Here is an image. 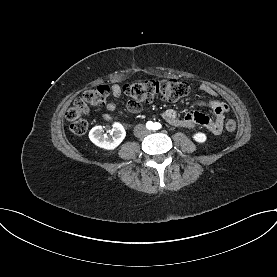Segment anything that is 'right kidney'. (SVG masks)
Returning <instances> with one entry per match:
<instances>
[{
	"mask_svg": "<svg viewBox=\"0 0 277 277\" xmlns=\"http://www.w3.org/2000/svg\"><path fill=\"white\" fill-rule=\"evenodd\" d=\"M102 130V126L93 127L89 132V138L96 146L106 150L115 149L126 136L124 127L118 122H115L113 128L109 130L111 136L103 134Z\"/></svg>",
	"mask_w": 277,
	"mask_h": 277,
	"instance_id": "right-kidney-1",
	"label": "right kidney"
}]
</instances>
